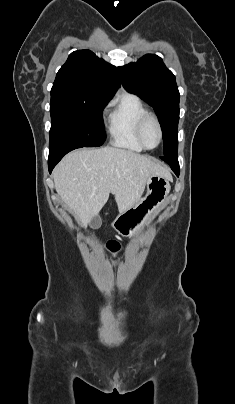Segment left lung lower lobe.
<instances>
[{
	"mask_svg": "<svg viewBox=\"0 0 235 404\" xmlns=\"http://www.w3.org/2000/svg\"><path fill=\"white\" fill-rule=\"evenodd\" d=\"M163 161H165L167 164L170 165L171 169L174 171V173L176 174V176H179V163H178V159H170V158H164V157H160Z\"/></svg>",
	"mask_w": 235,
	"mask_h": 404,
	"instance_id": "0a47b994",
	"label": "left lung lower lobe"
}]
</instances>
